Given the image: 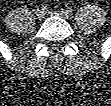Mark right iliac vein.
Instances as JSON below:
<instances>
[{"label":"right iliac vein","instance_id":"obj_1","mask_svg":"<svg viewBox=\"0 0 111 106\" xmlns=\"http://www.w3.org/2000/svg\"><path fill=\"white\" fill-rule=\"evenodd\" d=\"M44 17H45V12H44V11L39 10V11L36 13V18H37L38 20H43Z\"/></svg>","mask_w":111,"mask_h":106}]
</instances>
